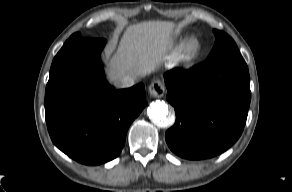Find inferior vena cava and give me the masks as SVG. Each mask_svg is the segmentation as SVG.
<instances>
[{"label":"inferior vena cava","mask_w":292,"mask_h":192,"mask_svg":"<svg viewBox=\"0 0 292 192\" xmlns=\"http://www.w3.org/2000/svg\"><path fill=\"white\" fill-rule=\"evenodd\" d=\"M134 83H135V78L130 75L124 76L122 79L119 80V85L122 88L131 87L134 85Z\"/></svg>","instance_id":"inferior-vena-cava-1"}]
</instances>
